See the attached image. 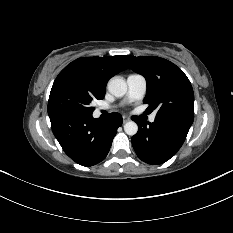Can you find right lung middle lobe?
Returning a JSON list of instances; mask_svg holds the SVG:
<instances>
[{"label": "right lung middle lobe", "instance_id": "right-lung-middle-lobe-1", "mask_svg": "<svg viewBox=\"0 0 233 233\" xmlns=\"http://www.w3.org/2000/svg\"><path fill=\"white\" fill-rule=\"evenodd\" d=\"M103 98V95L95 94L82 86L60 83L51 89L48 114L63 112L92 114L95 108L91 106V102Z\"/></svg>", "mask_w": 233, "mask_h": 233}]
</instances>
